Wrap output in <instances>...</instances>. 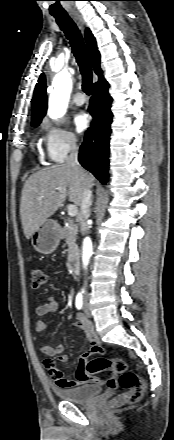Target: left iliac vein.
<instances>
[{"label": "left iliac vein", "instance_id": "4c4485c4", "mask_svg": "<svg viewBox=\"0 0 174 440\" xmlns=\"http://www.w3.org/2000/svg\"><path fill=\"white\" fill-rule=\"evenodd\" d=\"M84 313H85V316L87 318L91 317L90 309H89V306H88L87 302L84 303Z\"/></svg>", "mask_w": 174, "mask_h": 440}]
</instances>
